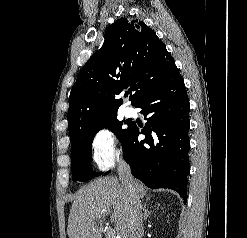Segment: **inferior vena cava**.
I'll return each mask as SVG.
<instances>
[{
    "label": "inferior vena cava",
    "mask_w": 247,
    "mask_h": 238,
    "mask_svg": "<svg viewBox=\"0 0 247 238\" xmlns=\"http://www.w3.org/2000/svg\"><path fill=\"white\" fill-rule=\"evenodd\" d=\"M117 171L119 180L130 199L128 238H141L143 233V214L135 180L131 175L129 165L123 159L119 161Z\"/></svg>",
    "instance_id": "1"
}]
</instances>
